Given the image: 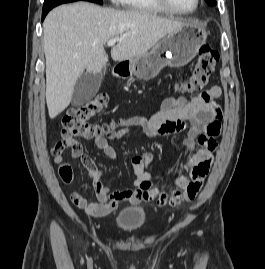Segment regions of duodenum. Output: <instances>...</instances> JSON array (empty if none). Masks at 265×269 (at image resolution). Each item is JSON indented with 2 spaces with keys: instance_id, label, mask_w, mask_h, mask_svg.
Segmentation results:
<instances>
[{
  "instance_id": "duodenum-1",
  "label": "duodenum",
  "mask_w": 265,
  "mask_h": 269,
  "mask_svg": "<svg viewBox=\"0 0 265 269\" xmlns=\"http://www.w3.org/2000/svg\"><path fill=\"white\" fill-rule=\"evenodd\" d=\"M125 67H119V66H117L116 68H115V73H117L118 75H123L124 74V72H125Z\"/></svg>"
}]
</instances>
